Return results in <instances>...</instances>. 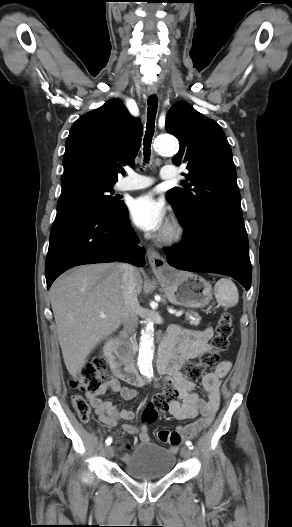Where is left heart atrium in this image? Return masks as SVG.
I'll return each mask as SVG.
<instances>
[{
    "mask_svg": "<svg viewBox=\"0 0 292 527\" xmlns=\"http://www.w3.org/2000/svg\"><path fill=\"white\" fill-rule=\"evenodd\" d=\"M130 213L134 223L144 231H162L167 223L163 203L151 194H144L134 199L130 206Z\"/></svg>",
    "mask_w": 292,
    "mask_h": 527,
    "instance_id": "39dd6f15",
    "label": "left heart atrium"
}]
</instances>
